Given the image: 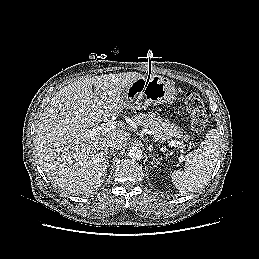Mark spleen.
Listing matches in <instances>:
<instances>
[{
	"instance_id": "obj_1",
	"label": "spleen",
	"mask_w": 259,
	"mask_h": 259,
	"mask_svg": "<svg viewBox=\"0 0 259 259\" xmlns=\"http://www.w3.org/2000/svg\"><path fill=\"white\" fill-rule=\"evenodd\" d=\"M219 145V131L211 129L206 134L205 145L187 155L184 171L172 173L173 185L181 193L193 192L209 181L219 157Z\"/></svg>"
}]
</instances>
